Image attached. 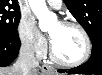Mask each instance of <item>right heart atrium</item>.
<instances>
[{"label": "right heart atrium", "instance_id": "1", "mask_svg": "<svg viewBox=\"0 0 102 75\" xmlns=\"http://www.w3.org/2000/svg\"><path fill=\"white\" fill-rule=\"evenodd\" d=\"M18 36L22 47L38 58H43L47 51V45L43 37L35 28L29 17H24L18 27Z\"/></svg>", "mask_w": 102, "mask_h": 75}]
</instances>
